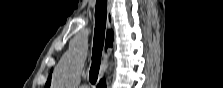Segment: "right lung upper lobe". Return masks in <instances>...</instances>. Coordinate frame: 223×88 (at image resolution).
<instances>
[{"mask_svg":"<svg viewBox=\"0 0 223 88\" xmlns=\"http://www.w3.org/2000/svg\"><path fill=\"white\" fill-rule=\"evenodd\" d=\"M112 40H113V33H112V31H108L107 38H106V47L112 46ZM50 83H51V74H50L49 79L46 83V88L50 87Z\"/></svg>","mask_w":223,"mask_h":88,"instance_id":"cb5924a9","label":"right lung upper lobe"}]
</instances>
